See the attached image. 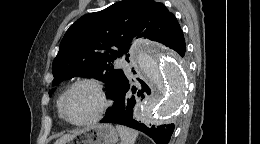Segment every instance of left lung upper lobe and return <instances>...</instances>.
Masks as SVG:
<instances>
[{"label":"left lung upper lobe","instance_id":"5c2ea615","mask_svg":"<svg viewBox=\"0 0 260 144\" xmlns=\"http://www.w3.org/2000/svg\"><path fill=\"white\" fill-rule=\"evenodd\" d=\"M180 30L175 16L154 0H123L86 14L69 27L60 43L52 64V84L77 76L95 78L106 83V94L113 98L126 78L113 63L123 54L128 61L133 39L166 45Z\"/></svg>","mask_w":260,"mask_h":144}]
</instances>
